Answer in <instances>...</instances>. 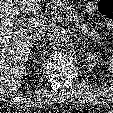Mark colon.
Segmentation results:
<instances>
[{"instance_id": "obj_1", "label": "colon", "mask_w": 113, "mask_h": 113, "mask_svg": "<svg viewBox=\"0 0 113 113\" xmlns=\"http://www.w3.org/2000/svg\"><path fill=\"white\" fill-rule=\"evenodd\" d=\"M96 7L102 18L113 23V0H99Z\"/></svg>"}]
</instances>
